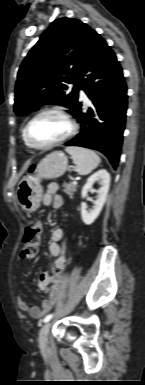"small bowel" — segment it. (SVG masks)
I'll return each instance as SVG.
<instances>
[{"mask_svg":"<svg viewBox=\"0 0 145 385\" xmlns=\"http://www.w3.org/2000/svg\"><path fill=\"white\" fill-rule=\"evenodd\" d=\"M58 185L56 183H50L47 186V191L42 197V203L46 206H51L54 209H58L63 205V199L60 195L57 194ZM64 237V231L62 228H55L51 232V241L49 245L50 254L56 256L58 260L62 259L64 264H66L65 258V249L60 244ZM54 262V263H55ZM65 267V266H64ZM62 285V273L56 274L53 272V275H48L47 273L40 274L38 278V286L39 288L45 292L48 296L45 300H43L40 307L31 306L28 304L26 300L19 295L18 297V307L21 311L29 314L30 317L39 319L45 313H47L53 306L57 295L61 290Z\"/></svg>","mask_w":145,"mask_h":385,"instance_id":"c3829d8e","label":"small bowel"}]
</instances>
